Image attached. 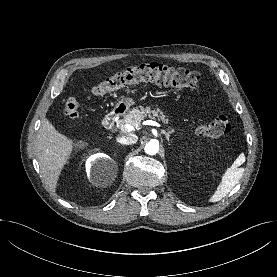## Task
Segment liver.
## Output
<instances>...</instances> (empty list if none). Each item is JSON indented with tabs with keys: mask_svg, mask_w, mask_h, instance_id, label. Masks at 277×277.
I'll return each mask as SVG.
<instances>
[{
	"mask_svg": "<svg viewBox=\"0 0 277 277\" xmlns=\"http://www.w3.org/2000/svg\"><path fill=\"white\" fill-rule=\"evenodd\" d=\"M74 145V140L56 130L47 118L42 120L37 135V146L40 149L38 162L43 180L49 188L55 189Z\"/></svg>",
	"mask_w": 277,
	"mask_h": 277,
	"instance_id": "liver-1",
	"label": "liver"
}]
</instances>
